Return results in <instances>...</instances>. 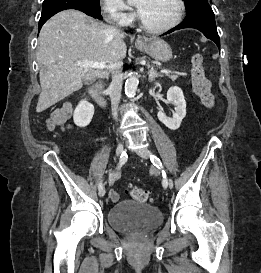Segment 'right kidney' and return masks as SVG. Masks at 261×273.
I'll return each instance as SVG.
<instances>
[{"instance_id": "ca27d5eb", "label": "right kidney", "mask_w": 261, "mask_h": 273, "mask_svg": "<svg viewBox=\"0 0 261 273\" xmlns=\"http://www.w3.org/2000/svg\"><path fill=\"white\" fill-rule=\"evenodd\" d=\"M94 115V106L86 100L80 101L76 107L73 120L78 127H86L90 124Z\"/></svg>"}]
</instances>
